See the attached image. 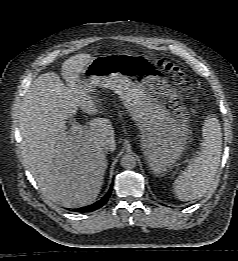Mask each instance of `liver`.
<instances>
[{"label": "liver", "mask_w": 238, "mask_h": 261, "mask_svg": "<svg viewBox=\"0 0 238 261\" xmlns=\"http://www.w3.org/2000/svg\"><path fill=\"white\" fill-rule=\"evenodd\" d=\"M93 58L77 54L65 60L61 75H40L28 88L19 114L22 155L25 166L43 196L67 208L93 203L107 169L104 143L114 151V128L109 119L94 118L81 133L67 131L66 119L77 113L97 114L90 92L79 83Z\"/></svg>", "instance_id": "liver-1"}]
</instances>
